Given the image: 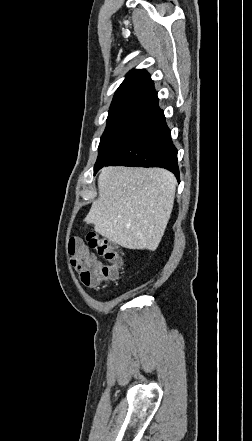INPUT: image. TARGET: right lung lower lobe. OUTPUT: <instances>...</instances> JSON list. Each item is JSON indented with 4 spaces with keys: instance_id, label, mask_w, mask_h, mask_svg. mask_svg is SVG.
I'll use <instances>...</instances> for the list:
<instances>
[{
    "instance_id": "obj_1",
    "label": "right lung lower lobe",
    "mask_w": 252,
    "mask_h": 441,
    "mask_svg": "<svg viewBox=\"0 0 252 441\" xmlns=\"http://www.w3.org/2000/svg\"><path fill=\"white\" fill-rule=\"evenodd\" d=\"M110 165L162 167L179 179L177 149L172 143L163 110L158 106L157 95L147 102L140 119L115 153L94 167V174Z\"/></svg>"
}]
</instances>
